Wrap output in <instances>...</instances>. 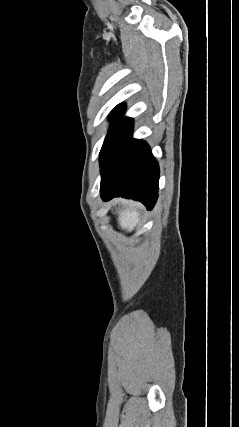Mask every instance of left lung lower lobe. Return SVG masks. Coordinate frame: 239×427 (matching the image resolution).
<instances>
[{
  "mask_svg": "<svg viewBox=\"0 0 239 427\" xmlns=\"http://www.w3.org/2000/svg\"><path fill=\"white\" fill-rule=\"evenodd\" d=\"M132 130L130 120L100 153L101 197L104 201L132 198L152 209L157 200L159 166L150 147L132 138Z\"/></svg>",
  "mask_w": 239,
  "mask_h": 427,
  "instance_id": "obj_1",
  "label": "left lung lower lobe"
}]
</instances>
